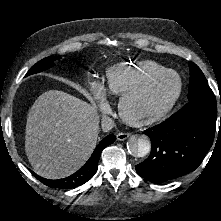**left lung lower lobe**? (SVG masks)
Returning a JSON list of instances; mask_svg holds the SVG:
<instances>
[{"mask_svg": "<svg viewBox=\"0 0 221 221\" xmlns=\"http://www.w3.org/2000/svg\"><path fill=\"white\" fill-rule=\"evenodd\" d=\"M216 117V99L197 97L147 129L151 153L136 165L137 173L152 182H165L195 170L213 144Z\"/></svg>", "mask_w": 221, "mask_h": 221, "instance_id": "obj_1", "label": "left lung lower lobe"}]
</instances>
